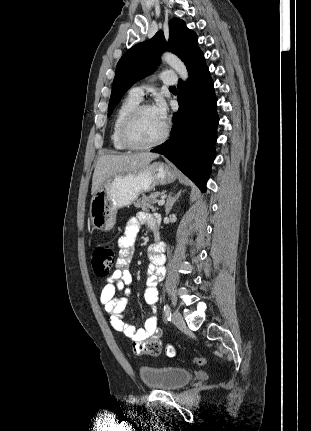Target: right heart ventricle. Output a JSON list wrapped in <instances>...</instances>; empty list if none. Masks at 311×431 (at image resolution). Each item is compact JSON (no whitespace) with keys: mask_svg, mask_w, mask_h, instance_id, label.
Instances as JSON below:
<instances>
[{"mask_svg":"<svg viewBox=\"0 0 311 431\" xmlns=\"http://www.w3.org/2000/svg\"><path fill=\"white\" fill-rule=\"evenodd\" d=\"M141 98L130 91L123 97L119 103L113 120L111 141L117 151H127L131 148L125 143L122 136V125L126 116L140 104Z\"/></svg>","mask_w":311,"mask_h":431,"instance_id":"right-heart-ventricle-1","label":"right heart ventricle"}]
</instances>
